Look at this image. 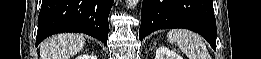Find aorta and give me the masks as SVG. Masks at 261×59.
Returning a JSON list of instances; mask_svg holds the SVG:
<instances>
[{
	"label": "aorta",
	"mask_w": 261,
	"mask_h": 59,
	"mask_svg": "<svg viewBox=\"0 0 261 59\" xmlns=\"http://www.w3.org/2000/svg\"><path fill=\"white\" fill-rule=\"evenodd\" d=\"M127 6L129 8H134L137 6V4L140 2L139 0H127Z\"/></svg>",
	"instance_id": "762f6f07"
}]
</instances>
